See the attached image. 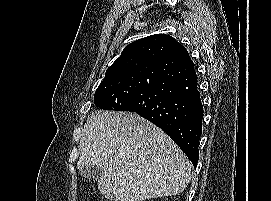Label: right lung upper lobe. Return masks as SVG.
<instances>
[{
    "mask_svg": "<svg viewBox=\"0 0 271 201\" xmlns=\"http://www.w3.org/2000/svg\"><path fill=\"white\" fill-rule=\"evenodd\" d=\"M180 45L165 34L151 35L127 45L121 56L107 69L105 77L138 69H151L164 55Z\"/></svg>",
    "mask_w": 271,
    "mask_h": 201,
    "instance_id": "cb5924a9",
    "label": "right lung upper lobe"
}]
</instances>
